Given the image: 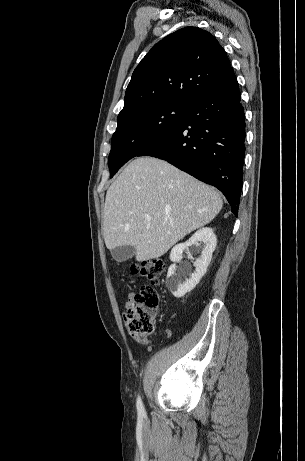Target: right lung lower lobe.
Masks as SVG:
<instances>
[{
  "label": "right lung lower lobe",
  "mask_w": 305,
  "mask_h": 461,
  "mask_svg": "<svg viewBox=\"0 0 305 461\" xmlns=\"http://www.w3.org/2000/svg\"><path fill=\"white\" fill-rule=\"evenodd\" d=\"M245 115L236 76L189 103L183 121L138 156L166 160L215 186L237 216L245 153Z\"/></svg>",
  "instance_id": "obj_1"
}]
</instances>
